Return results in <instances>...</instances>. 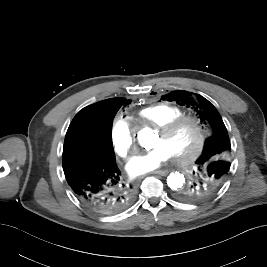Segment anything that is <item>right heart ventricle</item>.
Masks as SVG:
<instances>
[{"label": "right heart ventricle", "mask_w": 267, "mask_h": 267, "mask_svg": "<svg viewBox=\"0 0 267 267\" xmlns=\"http://www.w3.org/2000/svg\"><path fill=\"white\" fill-rule=\"evenodd\" d=\"M184 113V110L176 105L160 103L141 109L137 113L136 120L154 127H160L164 123L184 115Z\"/></svg>", "instance_id": "right-heart-ventricle-1"}]
</instances>
